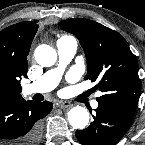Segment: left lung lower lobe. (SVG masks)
I'll return each instance as SVG.
<instances>
[{"label":"left lung lower lobe","instance_id":"left-lung-lower-lobe-1","mask_svg":"<svg viewBox=\"0 0 145 145\" xmlns=\"http://www.w3.org/2000/svg\"><path fill=\"white\" fill-rule=\"evenodd\" d=\"M94 121L86 129L76 131L82 145H115L133 122V116L113 107L99 105Z\"/></svg>","mask_w":145,"mask_h":145}]
</instances>
